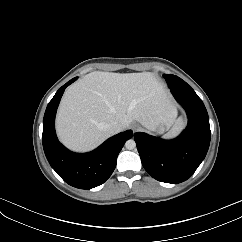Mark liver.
Listing matches in <instances>:
<instances>
[{"label":"liver","instance_id":"1","mask_svg":"<svg viewBox=\"0 0 242 242\" xmlns=\"http://www.w3.org/2000/svg\"><path fill=\"white\" fill-rule=\"evenodd\" d=\"M177 114L164 85L150 72L94 71L68 87L56 117L60 140L74 151L91 150L111 136L107 125L133 120L148 129Z\"/></svg>","mask_w":242,"mask_h":242}]
</instances>
